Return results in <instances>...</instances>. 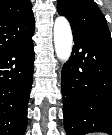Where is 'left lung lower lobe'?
<instances>
[{
	"mask_svg": "<svg viewBox=\"0 0 112 135\" xmlns=\"http://www.w3.org/2000/svg\"><path fill=\"white\" fill-rule=\"evenodd\" d=\"M74 46L61 75L67 135H112V41L73 32Z\"/></svg>",
	"mask_w": 112,
	"mask_h": 135,
	"instance_id": "obj_1",
	"label": "left lung lower lobe"
}]
</instances>
